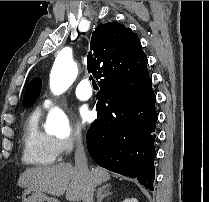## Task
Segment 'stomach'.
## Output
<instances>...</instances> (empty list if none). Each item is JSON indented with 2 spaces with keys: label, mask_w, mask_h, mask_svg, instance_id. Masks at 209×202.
<instances>
[{
  "label": "stomach",
  "mask_w": 209,
  "mask_h": 202,
  "mask_svg": "<svg viewBox=\"0 0 209 202\" xmlns=\"http://www.w3.org/2000/svg\"><path fill=\"white\" fill-rule=\"evenodd\" d=\"M22 202H59L56 198L48 197L45 193L26 188L22 193Z\"/></svg>",
  "instance_id": "0dacf381"
}]
</instances>
